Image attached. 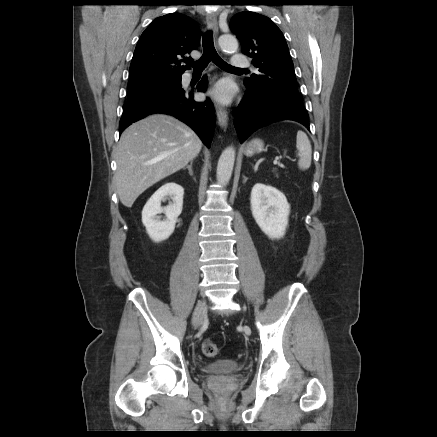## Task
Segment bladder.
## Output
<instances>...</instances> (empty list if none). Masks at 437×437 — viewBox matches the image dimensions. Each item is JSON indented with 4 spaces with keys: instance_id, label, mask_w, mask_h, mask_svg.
<instances>
[{
    "instance_id": "1",
    "label": "bladder",
    "mask_w": 437,
    "mask_h": 437,
    "mask_svg": "<svg viewBox=\"0 0 437 437\" xmlns=\"http://www.w3.org/2000/svg\"><path fill=\"white\" fill-rule=\"evenodd\" d=\"M240 369L241 364L234 359H220L202 367V371L207 374H231Z\"/></svg>"
}]
</instances>
